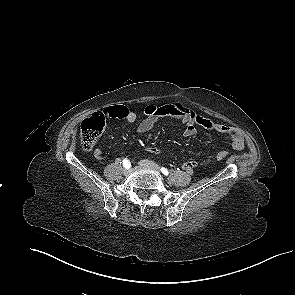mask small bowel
Returning a JSON list of instances; mask_svg holds the SVG:
<instances>
[{"mask_svg":"<svg viewBox=\"0 0 295 295\" xmlns=\"http://www.w3.org/2000/svg\"><path fill=\"white\" fill-rule=\"evenodd\" d=\"M144 114L145 118L137 126V134L140 136L149 132L160 118L172 117L179 120L184 125L182 132L183 137H192L196 135L198 128H203L228 136L231 139L234 149L240 150L244 146L242 136L235 129L201 116L180 103L163 104L159 106L149 105L144 109ZM101 115L104 118H116L127 123H134L137 120L136 113L122 105L106 107L101 112ZM93 153L96 158L100 159L102 156V151L99 148H96ZM217 154L215 155L216 158ZM211 158L212 157H209L203 162L189 159L183 162L182 167L186 171H192L199 165L209 162Z\"/></svg>","mask_w":295,"mask_h":295,"instance_id":"small-bowel-1","label":"small bowel"}]
</instances>
